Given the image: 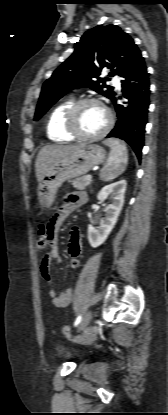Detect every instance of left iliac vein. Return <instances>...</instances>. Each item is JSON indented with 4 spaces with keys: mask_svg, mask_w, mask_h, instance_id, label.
I'll list each match as a JSON object with an SVG mask.
<instances>
[{
    "mask_svg": "<svg viewBox=\"0 0 168 415\" xmlns=\"http://www.w3.org/2000/svg\"><path fill=\"white\" fill-rule=\"evenodd\" d=\"M92 315H93L92 311L86 312V314L84 315V317L82 318V320L80 322L78 331H82L88 326V324L90 323V321L92 319Z\"/></svg>",
    "mask_w": 168,
    "mask_h": 415,
    "instance_id": "1",
    "label": "left iliac vein"
}]
</instances>
